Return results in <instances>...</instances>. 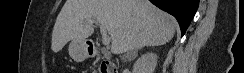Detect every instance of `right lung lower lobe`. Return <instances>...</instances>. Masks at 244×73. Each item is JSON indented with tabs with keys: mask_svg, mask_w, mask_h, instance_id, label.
Listing matches in <instances>:
<instances>
[{
	"mask_svg": "<svg viewBox=\"0 0 244 73\" xmlns=\"http://www.w3.org/2000/svg\"><path fill=\"white\" fill-rule=\"evenodd\" d=\"M160 9L173 15L181 29L182 36L185 34L199 5V0H149Z\"/></svg>",
	"mask_w": 244,
	"mask_h": 73,
	"instance_id": "98d812e1",
	"label": "right lung lower lobe"
}]
</instances>
